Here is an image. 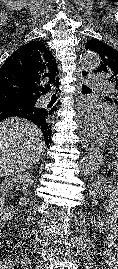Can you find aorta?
I'll return each mask as SVG.
<instances>
[{"instance_id":"aorta-1","label":"aorta","mask_w":118,"mask_h":269,"mask_svg":"<svg viewBox=\"0 0 118 269\" xmlns=\"http://www.w3.org/2000/svg\"><path fill=\"white\" fill-rule=\"evenodd\" d=\"M80 63L86 68H96L100 65V57L91 51L84 52L80 56ZM103 156L99 149H92L84 156L80 163V170L83 175L96 174L102 165Z\"/></svg>"}]
</instances>
